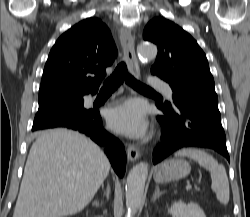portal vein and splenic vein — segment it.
I'll list each match as a JSON object with an SVG mask.
<instances>
[{"mask_svg": "<svg viewBox=\"0 0 250 217\" xmlns=\"http://www.w3.org/2000/svg\"><path fill=\"white\" fill-rule=\"evenodd\" d=\"M191 187V184L188 183L186 189H190Z\"/></svg>", "mask_w": 250, "mask_h": 217, "instance_id": "obj_1", "label": "portal vein and splenic vein"}]
</instances>
